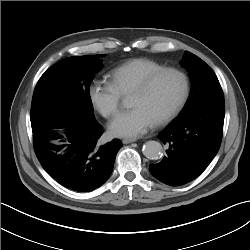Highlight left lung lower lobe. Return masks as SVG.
Returning a JSON list of instances; mask_svg holds the SVG:
<instances>
[{
  "label": "left lung lower lobe",
  "mask_w": 250,
  "mask_h": 250,
  "mask_svg": "<svg viewBox=\"0 0 250 250\" xmlns=\"http://www.w3.org/2000/svg\"><path fill=\"white\" fill-rule=\"evenodd\" d=\"M224 101L212 103L173 121L158 134L166 156L150 164L151 174L161 182L184 185L197 178L217 154L223 132Z\"/></svg>",
  "instance_id": "1"
}]
</instances>
